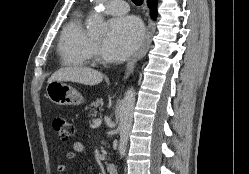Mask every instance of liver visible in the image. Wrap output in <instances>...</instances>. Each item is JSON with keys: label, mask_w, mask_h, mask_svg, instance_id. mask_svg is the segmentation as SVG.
<instances>
[{"label": "liver", "mask_w": 249, "mask_h": 174, "mask_svg": "<svg viewBox=\"0 0 249 174\" xmlns=\"http://www.w3.org/2000/svg\"><path fill=\"white\" fill-rule=\"evenodd\" d=\"M103 80V74L87 67H65L57 70L48 80L70 81L84 85H97Z\"/></svg>", "instance_id": "1"}]
</instances>
